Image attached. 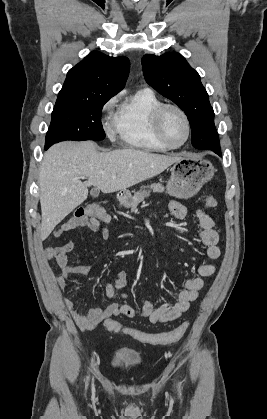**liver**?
Returning a JSON list of instances; mask_svg holds the SVG:
<instances>
[{
  "label": "liver",
  "instance_id": "1",
  "mask_svg": "<svg viewBox=\"0 0 267 419\" xmlns=\"http://www.w3.org/2000/svg\"><path fill=\"white\" fill-rule=\"evenodd\" d=\"M180 158L133 148L101 153L92 141L53 145L44 154L39 173L42 240L87 199L89 186L103 193L126 190L160 174ZM81 176L88 180L82 182Z\"/></svg>",
  "mask_w": 267,
  "mask_h": 419
}]
</instances>
